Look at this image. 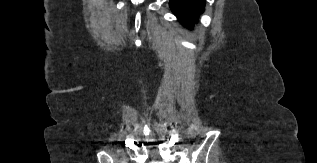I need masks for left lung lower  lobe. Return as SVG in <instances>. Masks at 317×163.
<instances>
[{"instance_id":"0a47b994","label":"left lung lower lobe","mask_w":317,"mask_h":163,"mask_svg":"<svg viewBox=\"0 0 317 163\" xmlns=\"http://www.w3.org/2000/svg\"><path fill=\"white\" fill-rule=\"evenodd\" d=\"M169 5L179 21L191 27L204 11L205 0H170Z\"/></svg>"}]
</instances>
